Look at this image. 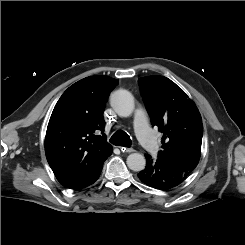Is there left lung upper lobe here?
<instances>
[{
    "label": "left lung upper lobe",
    "mask_w": 245,
    "mask_h": 245,
    "mask_svg": "<svg viewBox=\"0 0 245 245\" xmlns=\"http://www.w3.org/2000/svg\"><path fill=\"white\" fill-rule=\"evenodd\" d=\"M151 122L163 133L158 159L191 174L201 155L203 124L194 102L170 79H139Z\"/></svg>",
    "instance_id": "5c2ea615"
}]
</instances>
